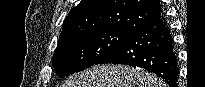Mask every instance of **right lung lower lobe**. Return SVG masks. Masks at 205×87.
Wrapping results in <instances>:
<instances>
[{"instance_id":"98d812e1","label":"right lung lower lobe","mask_w":205,"mask_h":87,"mask_svg":"<svg viewBox=\"0 0 205 87\" xmlns=\"http://www.w3.org/2000/svg\"><path fill=\"white\" fill-rule=\"evenodd\" d=\"M114 63L137 66L177 87L179 67L173 38L163 16H159L132 34L97 64Z\"/></svg>"}]
</instances>
